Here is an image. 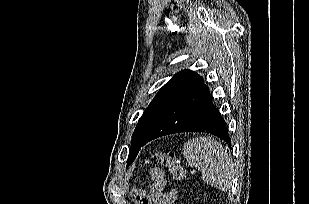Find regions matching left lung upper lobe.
Segmentation results:
<instances>
[{
	"label": "left lung upper lobe",
	"mask_w": 309,
	"mask_h": 204,
	"mask_svg": "<svg viewBox=\"0 0 309 204\" xmlns=\"http://www.w3.org/2000/svg\"><path fill=\"white\" fill-rule=\"evenodd\" d=\"M204 85L201 76L191 70L176 73L156 94L143 112L132 135L127 164L134 161L142 142L158 118L175 102Z\"/></svg>",
	"instance_id": "left-lung-upper-lobe-1"
}]
</instances>
